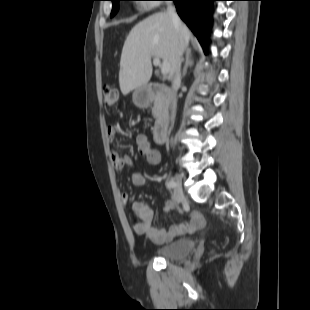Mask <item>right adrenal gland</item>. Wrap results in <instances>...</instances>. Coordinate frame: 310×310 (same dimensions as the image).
Returning a JSON list of instances; mask_svg holds the SVG:
<instances>
[{
  "mask_svg": "<svg viewBox=\"0 0 310 310\" xmlns=\"http://www.w3.org/2000/svg\"><path fill=\"white\" fill-rule=\"evenodd\" d=\"M194 64V62L192 61V53L191 50L188 49L187 53H186V60H185V66L183 69V73H182V78L185 77L186 72H187V68L189 66H192Z\"/></svg>",
  "mask_w": 310,
  "mask_h": 310,
  "instance_id": "2a0ac1e0",
  "label": "right adrenal gland"
}]
</instances>
